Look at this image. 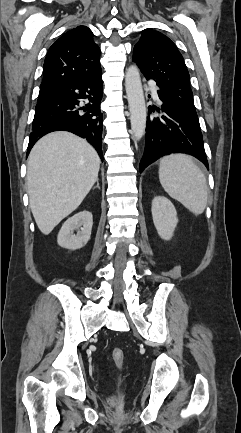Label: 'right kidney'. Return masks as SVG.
I'll return each mask as SVG.
<instances>
[{
	"label": "right kidney",
	"mask_w": 241,
	"mask_h": 433,
	"mask_svg": "<svg viewBox=\"0 0 241 433\" xmlns=\"http://www.w3.org/2000/svg\"><path fill=\"white\" fill-rule=\"evenodd\" d=\"M92 225V214L86 210L68 218L58 233V245L70 250L82 248L90 239ZM77 228H80V231L75 235L73 231Z\"/></svg>",
	"instance_id": "right-kidney-1"
}]
</instances>
